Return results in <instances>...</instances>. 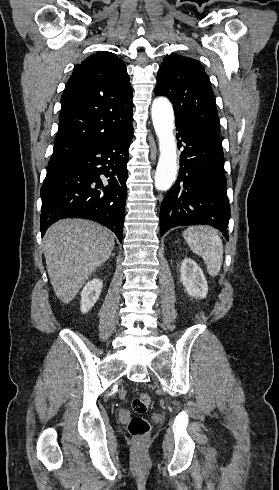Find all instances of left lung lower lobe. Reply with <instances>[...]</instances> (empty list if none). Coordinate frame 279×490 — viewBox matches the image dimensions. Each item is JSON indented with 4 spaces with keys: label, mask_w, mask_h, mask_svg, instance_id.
I'll list each match as a JSON object with an SVG mask.
<instances>
[{
    "label": "left lung lower lobe",
    "mask_w": 279,
    "mask_h": 490,
    "mask_svg": "<svg viewBox=\"0 0 279 490\" xmlns=\"http://www.w3.org/2000/svg\"><path fill=\"white\" fill-rule=\"evenodd\" d=\"M180 171L160 210V234L176 226L210 225L228 240L230 206L219 133L177 121Z\"/></svg>",
    "instance_id": "1"
}]
</instances>
